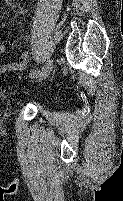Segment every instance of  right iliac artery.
<instances>
[{
	"instance_id": "82829eb1",
	"label": "right iliac artery",
	"mask_w": 123,
	"mask_h": 201,
	"mask_svg": "<svg viewBox=\"0 0 123 201\" xmlns=\"http://www.w3.org/2000/svg\"><path fill=\"white\" fill-rule=\"evenodd\" d=\"M40 72H41V71H39V70H33V71L30 72L29 76H30L31 78H34V77H36Z\"/></svg>"
}]
</instances>
